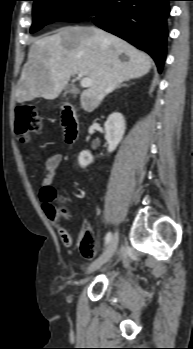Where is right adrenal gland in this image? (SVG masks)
Instances as JSON below:
<instances>
[{
    "label": "right adrenal gland",
    "instance_id": "obj_1",
    "mask_svg": "<svg viewBox=\"0 0 193 349\" xmlns=\"http://www.w3.org/2000/svg\"><path fill=\"white\" fill-rule=\"evenodd\" d=\"M127 86H128V84L124 83V84L118 85V86L116 87V89H119V88H121V87H127Z\"/></svg>",
    "mask_w": 193,
    "mask_h": 349
}]
</instances>
